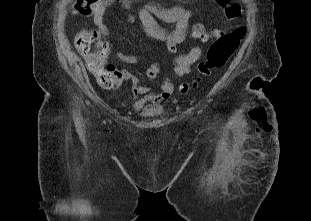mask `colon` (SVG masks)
Wrapping results in <instances>:
<instances>
[{
	"instance_id": "5ec220e1",
	"label": "colon",
	"mask_w": 311,
	"mask_h": 221,
	"mask_svg": "<svg viewBox=\"0 0 311 221\" xmlns=\"http://www.w3.org/2000/svg\"><path fill=\"white\" fill-rule=\"evenodd\" d=\"M116 2L117 0L70 1V15L71 17H83L82 19L85 20V17H95L96 12L99 11V4H116ZM219 2H221L220 8L228 13V19L237 20L238 17L244 16L242 2H234V0H219ZM191 32L199 41H205L208 37L201 23L193 24ZM245 33L244 27H237L230 33V36L218 33V39L211 44L206 59L199 63L196 76L191 81L180 84L178 93H188L192 88L197 87L204 77L210 76L214 70L223 67L238 49ZM75 46L85 59L86 66L97 83L101 87L113 85L116 77L113 70L105 64L109 45L101 38L100 33L92 30L80 31L75 37Z\"/></svg>"
}]
</instances>
